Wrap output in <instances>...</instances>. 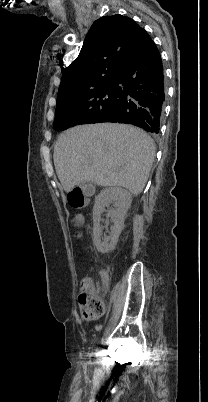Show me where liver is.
I'll return each mask as SVG.
<instances>
[{"mask_svg": "<svg viewBox=\"0 0 208 402\" xmlns=\"http://www.w3.org/2000/svg\"><path fill=\"white\" fill-rule=\"evenodd\" d=\"M154 158V142L140 128L89 124L60 134L53 160L65 192L92 182L97 186H123L138 196Z\"/></svg>", "mask_w": 208, "mask_h": 402, "instance_id": "6515ba94", "label": "liver"}]
</instances>
